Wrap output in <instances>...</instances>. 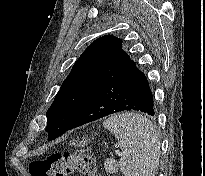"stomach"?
Segmentation results:
<instances>
[{"instance_id":"obj_1","label":"stomach","mask_w":205,"mask_h":176,"mask_svg":"<svg viewBox=\"0 0 205 176\" xmlns=\"http://www.w3.org/2000/svg\"><path fill=\"white\" fill-rule=\"evenodd\" d=\"M88 141H89L88 139H82L81 141L75 143V145L84 147L85 145H88Z\"/></svg>"}]
</instances>
